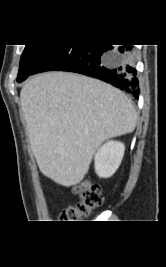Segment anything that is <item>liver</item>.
<instances>
[{"label": "liver", "instance_id": "obj_1", "mask_svg": "<svg viewBox=\"0 0 166 267\" xmlns=\"http://www.w3.org/2000/svg\"><path fill=\"white\" fill-rule=\"evenodd\" d=\"M20 101L40 171L65 187L82 181L105 140L133 132L137 122L124 93L73 73L32 77Z\"/></svg>", "mask_w": 166, "mask_h": 267}]
</instances>
